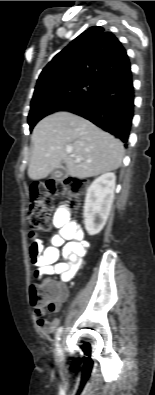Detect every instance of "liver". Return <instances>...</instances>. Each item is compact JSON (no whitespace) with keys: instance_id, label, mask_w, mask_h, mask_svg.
Wrapping results in <instances>:
<instances>
[{"instance_id":"6515ba94","label":"liver","mask_w":155,"mask_h":395,"mask_svg":"<svg viewBox=\"0 0 155 395\" xmlns=\"http://www.w3.org/2000/svg\"><path fill=\"white\" fill-rule=\"evenodd\" d=\"M32 141L34 148L28 168L32 180L46 178L61 162L72 177L98 176L117 170L124 156L119 139L89 120L63 111L38 122ZM76 157L82 161L76 162Z\"/></svg>"}]
</instances>
